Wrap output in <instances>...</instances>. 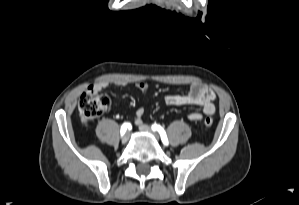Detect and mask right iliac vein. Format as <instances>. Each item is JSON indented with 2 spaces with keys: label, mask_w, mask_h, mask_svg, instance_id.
<instances>
[{
  "label": "right iliac vein",
  "mask_w": 299,
  "mask_h": 205,
  "mask_svg": "<svg viewBox=\"0 0 299 205\" xmlns=\"http://www.w3.org/2000/svg\"><path fill=\"white\" fill-rule=\"evenodd\" d=\"M130 138V133L127 132L125 135L122 136L121 140L123 143H126Z\"/></svg>",
  "instance_id": "1"
}]
</instances>
